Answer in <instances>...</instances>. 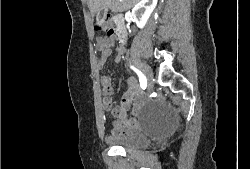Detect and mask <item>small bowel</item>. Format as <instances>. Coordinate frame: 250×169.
<instances>
[{
    "mask_svg": "<svg viewBox=\"0 0 250 169\" xmlns=\"http://www.w3.org/2000/svg\"><path fill=\"white\" fill-rule=\"evenodd\" d=\"M97 46L102 54V58H99L98 66H103L110 56L112 43L105 37H99L97 39ZM121 60L122 53L118 52L116 61L120 62ZM101 85L104 94L103 106L106 110L110 111L114 117L112 123L113 132L119 135L132 134L138 128V123L135 118H129L127 112L132 105L141 103L142 91L138 80L134 76H130L126 79V91L119 105H114L112 101V95L114 94L112 78L108 75L103 76L101 78Z\"/></svg>",
    "mask_w": 250,
    "mask_h": 169,
    "instance_id": "1",
    "label": "small bowel"
}]
</instances>
